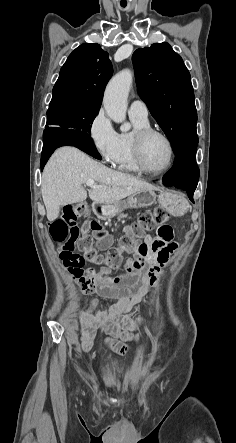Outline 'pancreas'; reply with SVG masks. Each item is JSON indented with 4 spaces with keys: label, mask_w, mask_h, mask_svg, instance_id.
Masks as SVG:
<instances>
[{
    "label": "pancreas",
    "mask_w": 236,
    "mask_h": 443,
    "mask_svg": "<svg viewBox=\"0 0 236 443\" xmlns=\"http://www.w3.org/2000/svg\"><path fill=\"white\" fill-rule=\"evenodd\" d=\"M127 217H128L127 214H121V215L117 218V220L120 221L121 219H123V218H127Z\"/></svg>",
    "instance_id": "1"
}]
</instances>
